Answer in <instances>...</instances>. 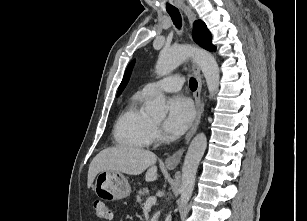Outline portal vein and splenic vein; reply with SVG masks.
<instances>
[{
    "label": "portal vein and splenic vein",
    "mask_w": 307,
    "mask_h": 221,
    "mask_svg": "<svg viewBox=\"0 0 307 221\" xmlns=\"http://www.w3.org/2000/svg\"><path fill=\"white\" fill-rule=\"evenodd\" d=\"M156 204V198L151 196L149 198H147L146 202L144 203V207L148 208L151 207L152 205Z\"/></svg>",
    "instance_id": "obj_1"
}]
</instances>
